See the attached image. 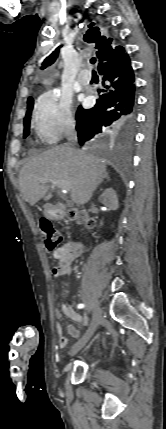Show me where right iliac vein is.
I'll use <instances>...</instances> for the list:
<instances>
[{
    "mask_svg": "<svg viewBox=\"0 0 166 429\" xmlns=\"http://www.w3.org/2000/svg\"><path fill=\"white\" fill-rule=\"evenodd\" d=\"M100 321L101 311L98 307H95L93 311L92 322L83 337L72 347L70 353L71 356L77 354L86 345V343L90 340V338L93 336L94 332L98 328Z\"/></svg>",
    "mask_w": 166,
    "mask_h": 429,
    "instance_id": "obj_1",
    "label": "right iliac vein"
}]
</instances>
